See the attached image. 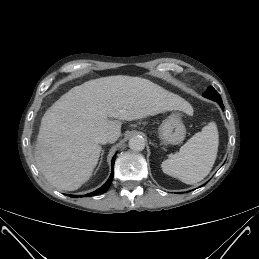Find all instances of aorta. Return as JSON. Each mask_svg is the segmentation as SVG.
Here are the masks:
<instances>
[{"instance_id": "1", "label": "aorta", "mask_w": 259, "mask_h": 259, "mask_svg": "<svg viewBox=\"0 0 259 259\" xmlns=\"http://www.w3.org/2000/svg\"><path fill=\"white\" fill-rule=\"evenodd\" d=\"M129 148L133 151H142L145 148V139L139 135L131 137Z\"/></svg>"}]
</instances>
